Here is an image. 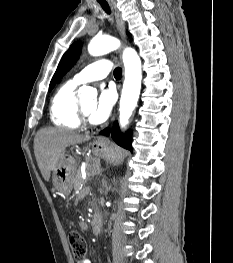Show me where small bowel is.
Segmentation results:
<instances>
[{"instance_id": "1", "label": "small bowel", "mask_w": 233, "mask_h": 263, "mask_svg": "<svg viewBox=\"0 0 233 263\" xmlns=\"http://www.w3.org/2000/svg\"><path fill=\"white\" fill-rule=\"evenodd\" d=\"M80 263H92V262L89 258H85Z\"/></svg>"}]
</instances>
